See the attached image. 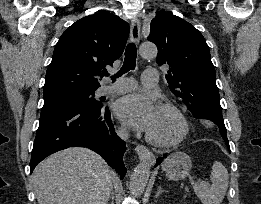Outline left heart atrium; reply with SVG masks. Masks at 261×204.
Wrapping results in <instances>:
<instances>
[{
  "label": "left heart atrium",
  "mask_w": 261,
  "mask_h": 204,
  "mask_svg": "<svg viewBox=\"0 0 261 204\" xmlns=\"http://www.w3.org/2000/svg\"><path fill=\"white\" fill-rule=\"evenodd\" d=\"M156 106L146 94H130L118 100L116 116L137 130L148 131L153 123Z\"/></svg>",
  "instance_id": "1"
}]
</instances>
